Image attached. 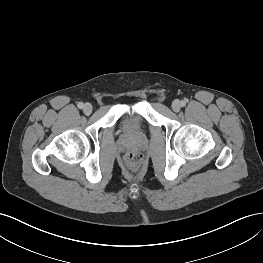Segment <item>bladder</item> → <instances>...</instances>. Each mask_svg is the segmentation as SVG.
I'll list each match as a JSON object with an SVG mask.
<instances>
[{"mask_svg": "<svg viewBox=\"0 0 263 263\" xmlns=\"http://www.w3.org/2000/svg\"><path fill=\"white\" fill-rule=\"evenodd\" d=\"M121 127L125 133L133 135L145 129V121L139 113L132 112L123 117Z\"/></svg>", "mask_w": 263, "mask_h": 263, "instance_id": "31cf9c89", "label": "bladder"}]
</instances>
